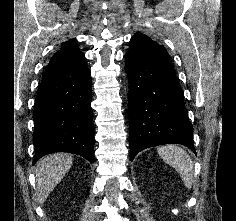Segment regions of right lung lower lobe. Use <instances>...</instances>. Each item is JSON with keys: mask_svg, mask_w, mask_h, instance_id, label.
<instances>
[{"mask_svg": "<svg viewBox=\"0 0 236 221\" xmlns=\"http://www.w3.org/2000/svg\"><path fill=\"white\" fill-rule=\"evenodd\" d=\"M91 74L84 56L45 69L33 120L35 157L69 152L94 162Z\"/></svg>", "mask_w": 236, "mask_h": 221, "instance_id": "obj_1", "label": "right lung lower lobe"}]
</instances>
